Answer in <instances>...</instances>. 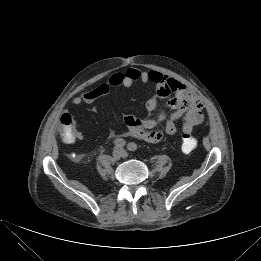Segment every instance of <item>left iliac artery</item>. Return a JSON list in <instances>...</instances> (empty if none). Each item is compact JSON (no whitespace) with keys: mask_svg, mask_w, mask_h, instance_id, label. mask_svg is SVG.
Wrapping results in <instances>:
<instances>
[{"mask_svg":"<svg viewBox=\"0 0 261 261\" xmlns=\"http://www.w3.org/2000/svg\"><path fill=\"white\" fill-rule=\"evenodd\" d=\"M127 148H128V150H130V151H136V150H137V145H136L135 143H129V144L127 145Z\"/></svg>","mask_w":261,"mask_h":261,"instance_id":"1","label":"left iliac artery"}]
</instances>
